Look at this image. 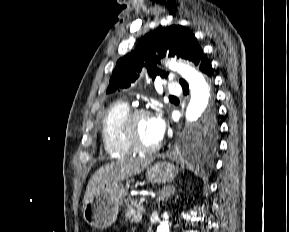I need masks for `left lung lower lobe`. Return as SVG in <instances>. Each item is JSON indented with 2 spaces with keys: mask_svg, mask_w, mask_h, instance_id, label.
Returning a JSON list of instances; mask_svg holds the SVG:
<instances>
[{
  "mask_svg": "<svg viewBox=\"0 0 289 232\" xmlns=\"http://www.w3.org/2000/svg\"><path fill=\"white\" fill-rule=\"evenodd\" d=\"M199 68L203 73H205L207 76L211 77V75H212L211 62L206 57H204V56L202 57V59L199 63ZM181 85L183 87L184 94H187L188 93V84L185 82Z\"/></svg>",
  "mask_w": 289,
  "mask_h": 232,
  "instance_id": "left-lung-lower-lobe-1",
  "label": "left lung lower lobe"
}]
</instances>
